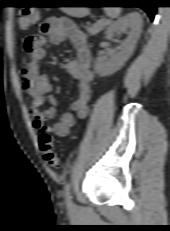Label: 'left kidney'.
<instances>
[{
    "instance_id": "1",
    "label": "left kidney",
    "mask_w": 170,
    "mask_h": 231,
    "mask_svg": "<svg viewBox=\"0 0 170 231\" xmlns=\"http://www.w3.org/2000/svg\"><path fill=\"white\" fill-rule=\"evenodd\" d=\"M142 18L139 13H129L112 23L106 37L113 38L119 31L128 30V37L121 42L120 52L112 55L109 59L97 57L95 60V72L100 76L110 75L119 70L129 59L135 49V45L141 33Z\"/></svg>"
}]
</instances>
